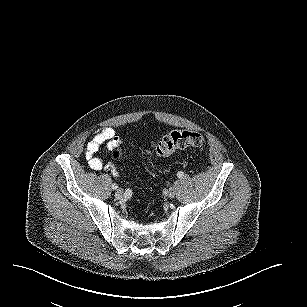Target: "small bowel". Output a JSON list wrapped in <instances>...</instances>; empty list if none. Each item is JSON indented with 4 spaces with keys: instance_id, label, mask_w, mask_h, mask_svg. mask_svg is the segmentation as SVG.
<instances>
[{
    "instance_id": "obj_1",
    "label": "small bowel",
    "mask_w": 307,
    "mask_h": 307,
    "mask_svg": "<svg viewBox=\"0 0 307 307\" xmlns=\"http://www.w3.org/2000/svg\"><path fill=\"white\" fill-rule=\"evenodd\" d=\"M121 144V140L116 136L115 130L111 127H103L98 130L88 142L85 150V159L92 170L100 171L107 169L115 177H119V171L113 164H105L104 161L97 156L102 146L107 150H112Z\"/></svg>"
}]
</instances>
